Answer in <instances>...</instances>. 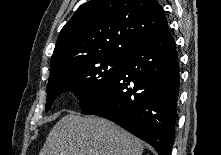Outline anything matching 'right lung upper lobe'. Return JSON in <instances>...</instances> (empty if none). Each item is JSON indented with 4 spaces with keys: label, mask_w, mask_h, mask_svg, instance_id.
Instances as JSON below:
<instances>
[{
    "label": "right lung upper lobe",
    "mask_w": 221,
    "mask_h": 155,
    "mask_svg": "<svg viewBox=\"0 0 221 155\" xmlns=\"http://www.w3.org/2000/svg\"><path fill=\"white\" fill-rule=\"evenodd\" d=\"M167 28L156 0H90L62 28L50 75L80 60L127 56L140 40Z\"/></svg>",
    "instance_id": "right-lung-upper-lobe-1"
}]
</instances>
